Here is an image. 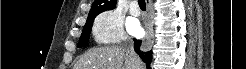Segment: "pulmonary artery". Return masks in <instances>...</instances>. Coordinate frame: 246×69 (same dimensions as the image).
Here are the masks:
<instances>
[{
    "instance_id": "1",
    "label": "pulmonary artery",
    "mask_w": 246,
    "mask_h": 69,
    "mask_svg": "<svg viewBox=\"0 0 246 69\" xmlns=\"http://www.w3.org/2000/svg\"><path fill=\"white\" fill-rule=\"evenodd\" d=\"M130 14L133 16H138L140 14V11H139L136 3L131 5Z\"/></svg>"
}]
</instances>
